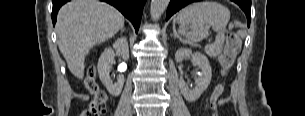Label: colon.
Returning <instances> with one entry per match:
<instances>
[{"mask_svg":"<svg viewBox=\"0 0 305 116\" xmlns=\"http://www.w3.org/2000/svg\"><path fill=\"white\" fill-rule=\"evenodd\" d=\"M240 47V39L236 32L231 31L227 35L224 49L219 57V63L223 73H226L234 64ZM85 86L92 95V101L81 116H101L107 111V95L100 88L96 79V69L91 67L88 69ZM224 87L217 84L210 96V107L213 110V116H218V100L223 94Z\"/></svg>","mask_w":305,"mask_h":116,"instance_id":"obj_1","label":"colon"}]
</instances>
